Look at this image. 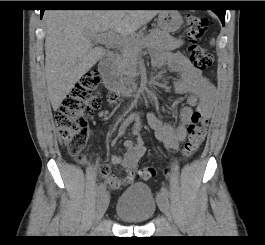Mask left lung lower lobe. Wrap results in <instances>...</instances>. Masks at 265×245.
<instances>
[{"label":"left lung lower lobe","instance_id":"1","mask_svg":"<svg viewBox=\"0 0 265 245\" xmlns=\"http://www.w3.org/2000/svg\"><path fill=\"white\" fill-rule=\"evenodd\" d=\"M212 11H214L215 14H217L224 26L225 24V10L224 9H213Z\"/></svg>","mask_w":265,"mask_h":245}]
</instances>
